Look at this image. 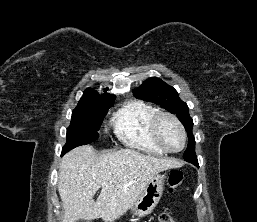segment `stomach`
Wrapping results in <instances>:
<instances>
[{
  "label": "stomach",
  "instance_id": "stomach-1",
  "mask_svg": "<svg viewBox=\"0 0 257 222\" xmlns=\"http://www.w3.org/2000/svg\"><path fill=\"white\" fill-rule=\"evenodd\" d=\"M164 181V175L156 174L152 177L144 191L130 207V211L134 217H145L154 210L161 199Z\"/></svg>",
  "mask_w": 257,
  "mask_h": 222
}]
</instances>
